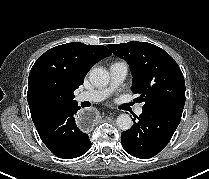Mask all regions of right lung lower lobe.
I'll use <instances>...</instances> for the list:
<instances>
[{"instance_id":"1","label":"right lung lower lobe","mask_w":209,"mask_h":179,"mask_svg":"<svg viewBox=\"0 0 209 179\" xmlns=\"http://www.w3.org/2000/svg\"><path fill=\"white\" fill-rule=\"evenodd\" d=\"M79 109L77 104L66 107L37 128L42 142L57 157L76 158L91 147L89 136L75 122L74 115Z\"/></svg>"}]
</instances>
